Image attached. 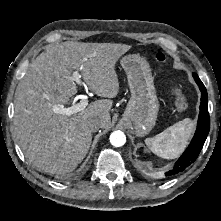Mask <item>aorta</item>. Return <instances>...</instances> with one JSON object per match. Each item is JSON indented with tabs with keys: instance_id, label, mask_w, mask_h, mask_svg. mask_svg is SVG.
<instances>
[{
	"instance_id": "aorta-1",
	"label": "aorta",
	"mask_w": 221,
	"mask_h": 221,
	"mask_svg": "<svg viewBox=\"0 0 221 221\" xmlns=\"http://www.w3.org/2000/svg\"><path fill=\"white\" fill-rule=\"evenodd\" d=\"M126 142V136L125 134L120 131H114L110 135V143L115 146V147H121L125 144Z\"/></svg>"
}]
</instances>
